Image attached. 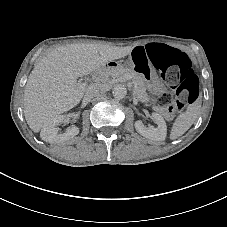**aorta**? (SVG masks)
Listing matches in <instances>:
<instances>
[{
	"label": "aorta",
	"instance_id": "762f6f07",
	"mask_svg": "<svg viewBox=\"0 0 227 227\" xmlns=\"http://www.w3.org/2000/svg\"><path fill=\"white\" fill-rule=\"evenodd\" d=\"M112 95L115 99H123L127 95V89L122 84H117L112 89Z\"/></svg>",
	"mask_w": 227,
	"mask_h": 227
}]
</instances>
